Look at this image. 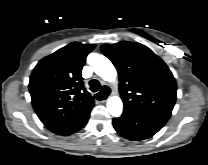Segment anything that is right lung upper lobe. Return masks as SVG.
Here are the masks:
<instances>
[{
  "instance_id": "cb5924a9",
  "label": "right lung upper lobe",
  "mask_w": 208,
  "mask_h": 165,
  "mask_svg": "<svg viewBox=\"0 0 208 165\" xmlns=\"http://www.w3.org/2000/svg\"><path fill=\"white\" fill-rule=\"evenodd\" d=\"M94 44L72 42L39 61L29 82L32 105L45 127L57 135L78 132L94 106L83 85L82 68Z\"/></svg>"
}]
</instances>
